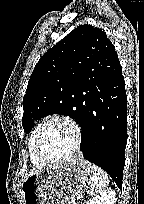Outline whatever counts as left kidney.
I'll list each match as a JSON object with an SVG mask.
<instances>
[{
	"instance_id": "obj_1",
	"label": "left kidney",
	"mask_w": 144,
	"mask_h": 204,
	"mask_svg": "<svg viewBox=\"0 0 144 204\" xmlns=\"http://www.w3.org/2000/svg\"><path fill=\"white\" fill-rule=\"evenodd\" d=\"M116 193L114 190L107 189L99 196L89 200L87 204H116Z\"/></svg>"
}]
</instances>
